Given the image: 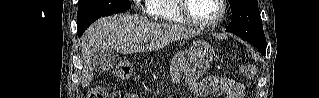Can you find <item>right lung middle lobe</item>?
I'll return each instance as SVG.
<instances>
[{"label": "right lung middle lobe", "instance_id": "dd1d6c3e", "mask_svg": "<svg viewBox=\"0 0 319 98\" xmlns=\"http://www.w3.org/2000/svg\"><path fill=\"white\" fill-rule=\"evenodd\" d=\"M130 7L129 0H79L77 22L96 16L111 15Z\"/></svg>", "mask_w": 319, "mask_h": 98}]
</instances>
